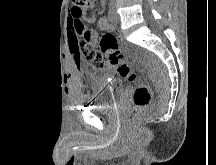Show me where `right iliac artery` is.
Segmentation results:
<instances>
[{"mask_svg": "<svg viewBox=\"0 0 216 165\" xmlns=\"http://www.w3.org/2000/svg\"><path fill=\"white\" fill-rule=\"evenodd\" d=\"M108 19L110 22L114 21V14H113V11L111 9L108 12Z\"/></svg>", "mask_w": 216, "mask_h": 165, "instance_id": "right-iliac-artery-1", "label": "right iliac artery"}]
</instances>
